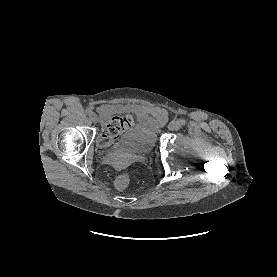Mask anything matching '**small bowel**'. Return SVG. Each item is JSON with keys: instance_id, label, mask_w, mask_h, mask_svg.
Returning a JSON list of instances; mask_svg holds the SVG:
<instances>
[{"instance_id": "obj_1", "label": "small bowel", "mask_w": 277, "mask_h": 277, "mask_svg": "<svg viewBox=\"0 0 277 277\" xmlns=\"http://www.w3.org/2000/svg\"><path fill=\"white\" fill-rule=\"evenodd\" d=\"M127 109L139 114L141 117L152 116L155 118L157 125H163L167 120L166 111L159 107L132 105L128 106Z\"/></svg>"}]
</instances>
